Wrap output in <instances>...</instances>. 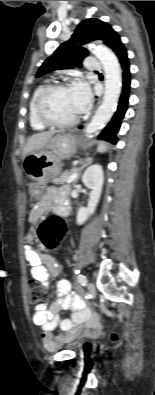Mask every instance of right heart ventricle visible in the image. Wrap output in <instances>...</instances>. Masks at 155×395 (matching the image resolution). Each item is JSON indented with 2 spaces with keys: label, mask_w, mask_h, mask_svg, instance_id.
<instances>
[{
  "label": "right heart ventricle",
  "mask_w": 155,
  "mask_h": 395,
  "mask_svg": "<svg viewBox=\"0 0 155 395\" xmlns=\"http://www.w3.org/2000/svg\"><path fill=\"white\" fill-rule=\"evenodd\" d=\"M43 85L38 86L29 101V122L31 127L36 130V131H42L44 130L47 126L43 125L36 117L35 115V111H34V103H35V99L38 95V93L41 91V89L43 88Z\"/></svg>",
  "instance_id": "e07e8e85"
}]
</instances>
